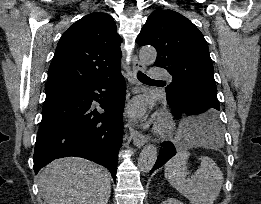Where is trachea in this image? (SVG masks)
<instances>
[{
  "mask_svg": "<svg viewBox=\"0 0 261 204\" xmlns=\"http://www.w3.org/2000/svg\"><path fill=\"white\" fill-rule=\"evenodd\" d=\"M137 77L141 82H153V81H155V80L150 79L147 75H145L144 73H142L140 71L138 72Z\"/></svg>",
  "mask_w": 261,
  "mask_h": 204,
  "instance_id": "3493384b",
  "label": "trachea"
}]
</instances>
